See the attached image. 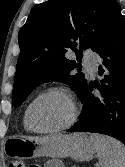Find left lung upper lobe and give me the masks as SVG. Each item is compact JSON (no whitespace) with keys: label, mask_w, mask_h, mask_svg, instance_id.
<instances>
[{"label":"left lung upper lobe","mask_w":125,"mask_h":167,"mask_svg":"<svg viewBox=\"0 0 125 167\" xmlns=\"http://www.w3.org/2000/svg\"><path fill=\"white\" fill-rule=\"evenodd\" d=\"M120 11L116 0H48L36 5L18 34L12 105L18 107L33 89L50 81L67 83L81 96L87 86L80 72L82 49L96 51ZM70 50L76 52L79 63L66 59ZM75 69L77 74L72 73Z\"/></svg>","instance_id":"left-lung-upper-lobe-1"}]
</instances>
